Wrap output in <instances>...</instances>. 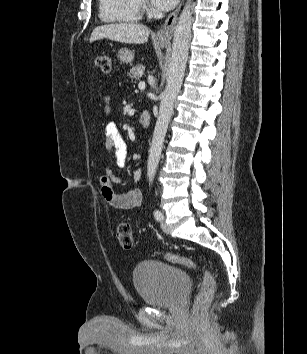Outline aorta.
Returning a JSON list of instances; mask_svg holds the SVG:
<instances>
[{"mask_svg": "<svg viewBox=\"0 0 307 354\" xmlns=\"http://www.w3.org/2000/svg\"><path fill=\"white\" fill-rule=\"evenodd\" d=\"M192 0H187L175 27L172 55L167 69V85L161 97L147 164V177L152 182L160 160L167 128L173 113L174 102L181 89L185 73L192 28Z\"/></svg>", "mask_w": 307, "mask_h": 354, "instance_id": "aorta-1", "label": "aorta"}]
</instances>
